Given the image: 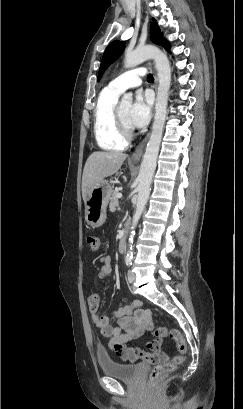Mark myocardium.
Masks as SVG:
<instances>
[{"label":"myocardium","instance_id":"f54148a6","mask_svg":"<svg viewBox=\"0 0 243 409\" xmlns=\"http://www.w3.org/2000/svg\"><path fill=\"white\" fill-rule=\"evenodd\" d=\"M114 118H115V124L117 127V130L119 134L125 139V140H130L133 136V130L130 126L126 125L119 112V105H116L115 110H114Z\"/></svg>","mask_w":243,"mask_h":409}]
</instances>
